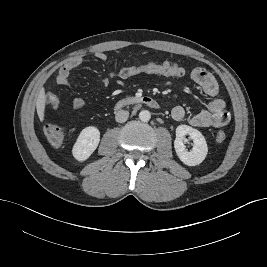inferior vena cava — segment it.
Listing matches in <instances>:
<instances>
[{
    "instance_id": "602c4592",
    "label": "inferior vena cava",
    "mask_w": 267,
    "mask_h": 267,
    "mask_svg": "<svg viewBox=\"0 0 267 267\" xmlns=\"http://www.w3.org/2000/svg\"><path fill=\"white\" fill-rule=\"evenodd\" d=\"M128 117H129V112L128 111H126V110H120V111H118L116 113L115 120L118 123H124V122L127 121Z\"/></svg>"
}]
</instances>
